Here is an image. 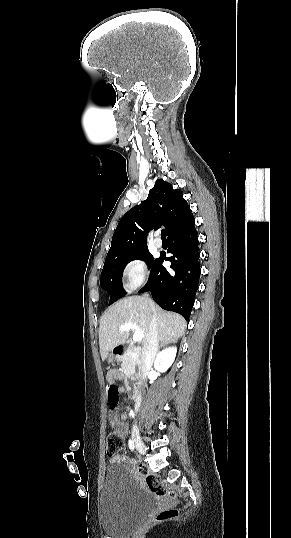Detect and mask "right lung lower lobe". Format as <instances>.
I'll use <instances>...</instances> for the list:
<instances>
[{
  "mask_svg": "<svg viewBox=\"0 0 291 538\" xmlns=\"http://www.w3.org/2000/svg\"><path fill=\"white\" fill-rule=\"evenodd\" d=\"M195 221L168 236L173 256L155 260L146 285L139 291H150L153 300L165 310L181 314L188 319L198 290L200 277L198 234ZM164 260L172 264L162 266Z\"/></svg>",
  "mask_w": 291,
  "mask_h": 538,
  "instance_id": "98d812e1",
  "label": "right lung lower lobe"
}]
</instances>
